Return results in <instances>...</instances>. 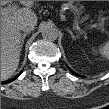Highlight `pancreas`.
<instances>
[{
    "label": "pancreas",
    "mask_w": 109,
    "mask_h": 109,
    "mask_svg": "<svg viewBox=\"0 0 109 109\" xmlns=\"http://www.w3.org/2000/svg\"><path fill=\"white\" fill-rule=\"evenodd\" d=\"M65 6L71 7V9L74 11L75 15H76V20H78L79 18V11L76 7L74 6H70L69 4H64ZM104 24V19H101V23L99 24L100 26H102Z\"/></svg>",
    "instance_id": "cf45deb5"
}]
</instances>
